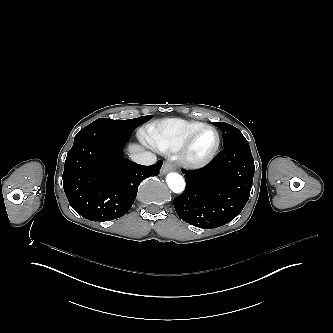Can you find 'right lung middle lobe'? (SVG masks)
Segmentation results:
<instances>
[{"instance_id":"obj_1","label":"right lung middle lobe","mask_w":333,"mask_h":333,"mask_svg":"<svg viewBox=\"0 0 333 333\" xmlns=\"http://www.w3.org/2000/svg\"><path fill=\"white\" fill-rule=\"evenodd\" d=\"M153 116L147 115V116H142L139 118L135 119H129V120H113L109 118H99L92 122L89 125H96V126H102L122 132H127V133H132L134 129H136L139 125L142 123H145L149 121Z\"/></svg>"}]
</instances>
